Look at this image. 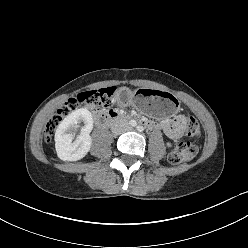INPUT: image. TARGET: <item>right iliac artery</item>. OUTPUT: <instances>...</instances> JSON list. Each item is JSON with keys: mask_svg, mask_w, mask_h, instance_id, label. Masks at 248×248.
Wrapping results in <instances>:
<instances>
[{"mask_svg": "<svg viewBox=\"0 0 248 248\" xmlns=\"http://www.w3.org/2000/svg\"><path fill=\"white\" fill-rule=\"evenodd\" d=\"M130 124H131L132 126H136V125H137V122H136L135 120H130Z\"/></svg>", "mask_w": 248, "mask_h": 248, "instance_id": "82829eb1", "label": "right iliac artery"}]
</instances>
